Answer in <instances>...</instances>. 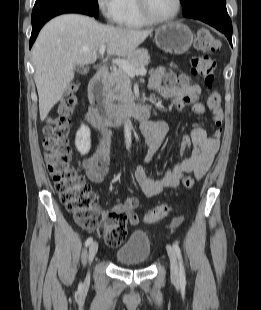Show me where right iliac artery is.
<instances>
[{"label": "right iliac artery", "instance_id": "right-iliac-artery-1", "mask_svg": "<svg viewBox=\"0 0 261 310\" xmlns=\"http://www.w3.org/2000/svg\"><path fill=\"white\" fill-rule=\"evenodd\" d=\"M92 242H93V238H92V237H89V238L86 240L85 245H86V246H89Z\"/></svg>", "mask_w": 261, "mask_h": 310}]
</instances>
